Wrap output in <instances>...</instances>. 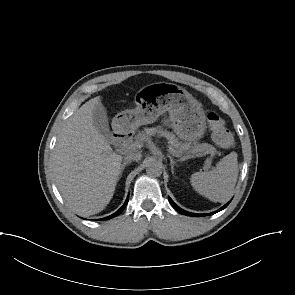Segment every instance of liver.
<instances>
[{"label": "liver", "instance_id": "liver-1", "mask_svg": "<svg viewBox=\"0 0 295 295\" xmlns=\"http://www.w3.org/2000/svg\"><path fill=\"white\" fill-rule=\"evenodd\" d=\"M100 99L87 101L67 119L52 154L55 182L63 199L84 217L109 204L122 162L93 124V110Z\"/></svg>", "mask_w": 295, "mask_h": 295}]
</instances>
